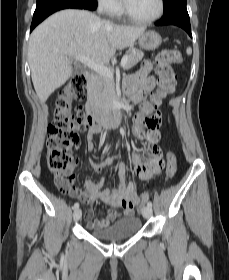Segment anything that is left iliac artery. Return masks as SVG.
<instances>
[{"label":"left iliac artery","instance_id":"1","mask_svg":"<svg viewBox=\"0 0 229 280\" xmlns=\"http://www.w3.org/2000/svg\"><path fill=\"white\" fill-rule=\"evenodd\" d=\"M147 206L152 207V203L149 201V202L147 203Z\"/></svg>","mask_w":229,"mask_h":280}]
</instances>
